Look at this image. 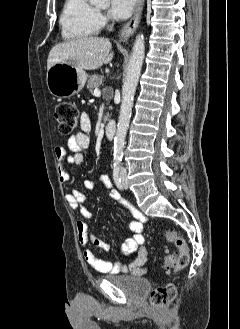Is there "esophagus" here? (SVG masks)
Listing matches in <instances>:
<instances>
[{
	"label": "esophagus",
	"mask_w": 240,
	"mask_h": 329,
	"mask_svg": "<svg viewBox=\"0 0 240 329\" xmlns=\"http://www.w3.org/2000/svg\"><path fill=\"white\" fill-rule=\"evenodd\" d=\"M144 0H136L133 15L130 20L124 25L120 32V40L127 41L130 36L135 32L141 18L142 6Z\"/></svg>",
	"instance_id": "1"
}]
</instances>
